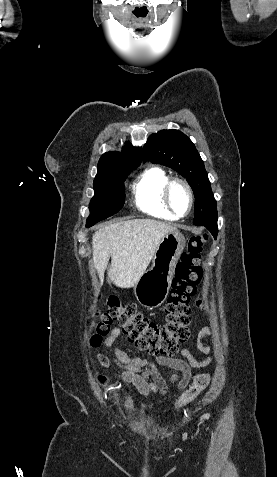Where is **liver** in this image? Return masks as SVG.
Returning <instances> with one entry per match:
<instances>
[{
	"label": "liver",
	"instance_id": "6515ba94",
	"mask_svg": "<svg viewBox=\"0 0 277 477\" xmlns=\"http://www.w3.org/2000/svg\"><path fill=\"white\" fill-rule=\"evenodd\" d=\"M173 231H176L174 226L153 219L128 220L97 230L92 237L93 262L101 284L111 258L109 280L120 288L134 286L162 238Z\"/></svg>",
	"mask_w": 277,
	"mask_h": 477
}]
</instances>
